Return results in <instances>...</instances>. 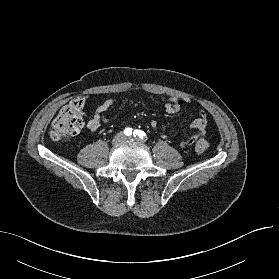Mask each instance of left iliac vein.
<instances>
[{
  "label": "left iliac vein",
  "mask_w": 279,
  "mask_h": 279,
  "mask_svg": "<svg viewBox=\"0 0 279 279\" xmlns=\"http://www.w3.org/2000/svg\"><path fill=\"white\" fill-rule=\"evenodd\" d=\"M125 140H126V141H129V140H131V138H125Z\"/></svg>",
  "instance_id": "4c4485c4"
}]
</instances>
